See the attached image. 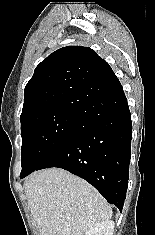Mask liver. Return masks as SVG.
I'll return each instance as SVG.
<instances>
[{"label":"liver","instance_id":"obj_1","mask_svg":"<svg viewBox=\"0 0 155 235\" xmlns=\"http://www.w3.org/2000/svg\"><path fill=\"white\" fill-rule=\"evenodd\" d=\"M40 235H85L112 209L85 180L59 168L35 172L24 183Z\"/></svg>","mask_w":155,"mask_h":235}]
</instances>
